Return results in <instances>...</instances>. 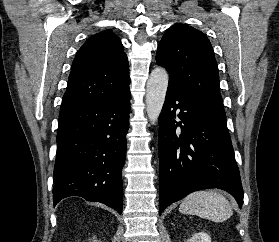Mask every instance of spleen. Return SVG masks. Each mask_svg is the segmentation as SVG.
Masks as SVG:
<instances>
[{
  "mask_svg": "<svg viewBox=\"0 0 279 242\" xmlns=\"http://www.w3.org/2000/svg\"><path fill=\"white\" fill-rule=\"evenodd\" d=\"M179 210L214 222L225 221L233 214L231 204L222 194L205 190L193 192L185 197Z\"/></svg>",
  "mask_w": 279,
  "mask_h": 242,
  "instance_id": "1",
  "label": "spleen"
}]
</instances>
